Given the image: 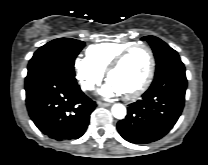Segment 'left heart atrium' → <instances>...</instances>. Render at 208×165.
<instances>
[{
	"instance_id": "left-heart-atrium-1",
	"label": "left heart atrium",
	"mask_w": 208,
	"mask_h": 165,
	"mask_svg": "<svg viewBox=\"0 0 208 165\" xmlns=\"http://www.w3.org/2000/svg\"><path fill=\"white\" fill-rule=\"evenodd\" d=\"M100 93L104 96L110 97L120 94V91L112 82L108 81L107 84L101 89Z\"/></svg>"
}]
</instances>
